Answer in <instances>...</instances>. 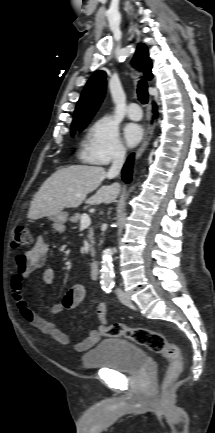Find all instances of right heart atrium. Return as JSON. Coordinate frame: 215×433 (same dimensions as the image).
Instances as JSON below:
<instances>
[{
	"instance_id": "1",
	"label": "right heart atrium",
	"mask_w": 215,
	"mask_h": 433,
	"mask_svg": "<svg viewBox=\"0 0 215 433\" xmlns=\"http://www.w3.org/2000/svg\"><path fill=\"white\" fill-rule=\"evenodd\" d=\"M125 153L126 149L116 122L108 116L95 120L83 145L84 160L96 165H107L123 158Z\"/></svg>"
}]
</instances>
